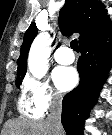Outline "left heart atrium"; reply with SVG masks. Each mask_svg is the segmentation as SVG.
I'll list each match as a JSON object with an SVG mask.
<instances>
[{
  "instance_id": "1",
  "label": "left heart atrium",
  "mask_w": 112,
  "mask_h": 135,
  "mask_svg": "<svg viewBox=\"0 0 112 135\" xmlns=\"http://www.w3.org/2000/svg\"><path fill=\"white\" fill-rule=\"evenodd\" d=\"M52 79L59 91L66 92L76 86L78 76L73 67L58 66L52 73Z\"/></svg>"
}]
</instances>
